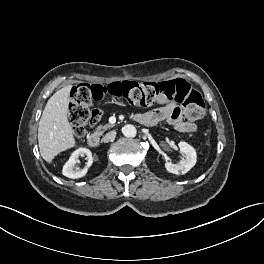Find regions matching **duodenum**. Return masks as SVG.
Instances as JSON below:
<instances>
[{"mask_svg": "<svg viewBox=\"0 0 264 264\" xmlns=\"http://www.w3.org/2000/svg\"><path fill=\"white\" fill-rule=\"evenodd\" d=\"M140 123L150 126V124L140 121ZM87 143L91 147H97L100 144V134L99 133H92L87 137Z\"/></svg>", "mask_w": 264, "mask_h": 264, "instance_id": "410a0bca", "label": "duodenum"}]
</instances>
